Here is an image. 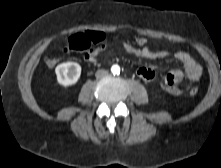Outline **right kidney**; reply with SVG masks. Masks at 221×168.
Returning <instances> with one entry per match:
<instances>
[{
	"instance_id": "ca27d5eb",
	"label": "right kidney",
	"mask_w": 221,
	"mask_h": 168,
	"mask_svg": "<svg viewBox=\"0 0 221 168\" xmlns=\"http://www.w3.org/2000/svg\"><path fill=\"white\" fill-rule=\"evenodd\" d=\"M55 73L57 81L62 86H71L77 83L81 75V66L76 62H65L59 64Z\"/></svg>"
}]
</instances>
